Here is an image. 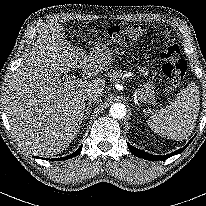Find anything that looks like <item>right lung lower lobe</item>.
I'll use <instances>...</instances> for the list:
<instances>
[{"instance_id":"right-lung-lower-lobe-1","label":"right lung lower lobe","mask_w":206,"mask_h":206,"mask_svg":"<svg viewBox=\"0 0 206 206\" xmlns=\"http://www.w3.org/2000/svg\"><path fill=\"white\" fill-rule=\"evenodd\" d=\"M81 150H82V146H81L78 150H76L75 152H73L72 154H70V155H68V156H66V157H63V158H56V159H53V160H54V161H55V160H57V161L60 160V161H61V160H67V159H70V158L76 156ZM43 159H45V158H43ZM46 160H48V159H46ZM49 160H51V159H49Z\"/></svg>"}]
</instances>
